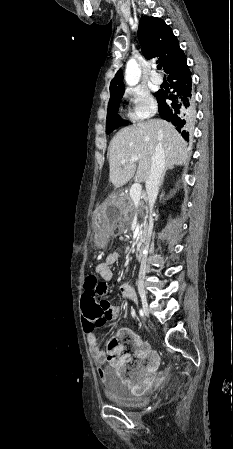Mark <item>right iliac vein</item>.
<instances>
[{
	"mask_svg": "<svg viewBox=\"0 0 233 449\" xmlns=\"http://www.w3.org/2000/svg\"><path fill=\"white\" fill-rule=\"evenodd\" d=\"M141 300H142V308L144 310V313L147 317H149V308H148V304H147V299L145 296H143L141 298Z\"/></svg>",
	"mask_w": 233,
	"mask_h": 449,
	"instance_id": "63e3f726",
	"label": "right iliac vein"
}]
</instances>
